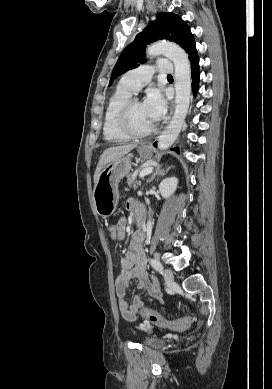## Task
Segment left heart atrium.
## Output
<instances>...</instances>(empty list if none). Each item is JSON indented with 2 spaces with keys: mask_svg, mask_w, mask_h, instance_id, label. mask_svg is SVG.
Wrapping results in <instances>:
<instances>
[{
  "mask_svg": "<svg viewBox=\"0 0 272 389\" xmlns=\"http://www.w3.org/2000/svg\"><path fill=\"white\" fill-rule=\"evenodd\" d=\"M142 104L153 123L157 122L162 117L166 109L162 93L158 89L150 90Z\"/></svg>",
  "mask_w": 272,
  "mask_h": 389,
  "instance_id": "39dd6f15",
  "label": "left heart atrium"
}]
</instances>
